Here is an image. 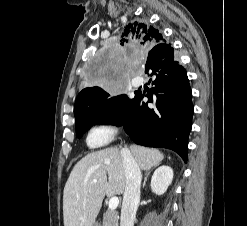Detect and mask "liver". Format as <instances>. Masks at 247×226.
<instances>
[{"label": "liver", "mask_w": 247, "mask_h": 226, "mask_svg": "<svg viewBox=\"0 0 247 226\" xmlns=\"http://www.w3.org/2000/svg\"><path fill=\"white\" fill-rule=\"evenodd\" d=\"M130 152L142 170L151 169L164 158L157 149L137 145H132ZM125 187V169L118 147L87 154L74 166L64 187V226H93L105 195H121Z\"/></svg>", "instance_id": "1"}]
</instances>
